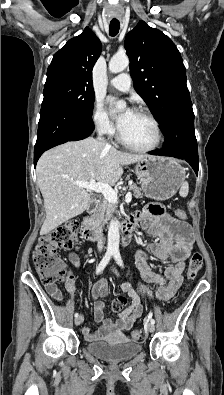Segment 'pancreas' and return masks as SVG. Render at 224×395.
Returning <instances> with one entry per match:
<instances>
[{
  "mask_svg": "<svg viewBox=\"0 0 224 395\" xmlns=\"http://www.w3.org/2000/svg\"><path fill=\"white\" fill-rule=\"evenodd\" d=\"M129 190L133 192V196L135 198H143L144 194L142 190L137 187V185L133 184L129 186ZM116 211V205L107 201L106 199L102 200L101 203L94 209L92 220L97 227H101L110 220L112 214Z\"/></svg>",
  "mask_w": 224,
  "mask_h": 395,
  "instance_id": "pancreas-1",
  "label": "pancreas"
}]
</instances>
